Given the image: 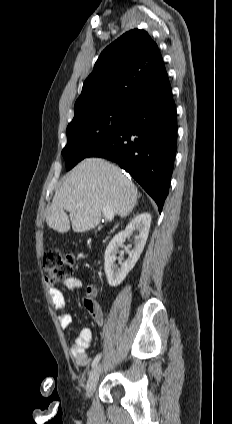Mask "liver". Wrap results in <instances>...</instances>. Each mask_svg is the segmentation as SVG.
<instances>
[{
  "label": "liver",
  "mask_w": 232,
  "mask_h": 424,
  "mask_svg": "<svg viewBox=\"0 0 232 424\" xmlns=\"http://www.w3.org/2000/svg\"><path fill=\"white\" fill-rule=\"evenodd\" d=\"M137 202V189L118 166L101 158H86L68 173L55 193L46 223L59 233H82L97 227L103 207L126 217ZM69 212V216L66 214Z\"/></svg>",
  "instance_id": "liver-1"
}]
</instances>
